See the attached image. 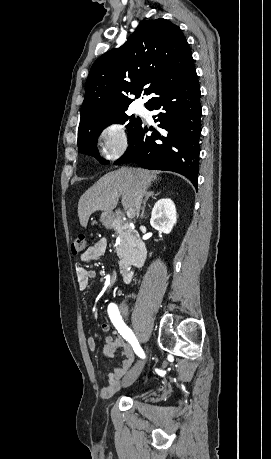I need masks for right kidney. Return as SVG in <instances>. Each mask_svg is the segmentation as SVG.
<instances>
[{
    "mask_svg": "<svg viewBox=\"0 0 271 459\" xmlns=\"http://www.w3.org/2000/svg\"><path fill=\"white\" fill-rule=\"evenodd\" d=\"M176 222L177 216L174 202L170 198L158 200L151 214L150 224L152 228L164 231V233H170Z\"/></svg>",
    "mask_w": 271,
    "mask_h": 459,
    "instance_id": "obj_1",
    "label": "right kidney"
}]
</instances>
